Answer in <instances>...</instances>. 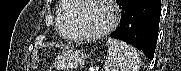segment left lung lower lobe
Masks as SVG:
<instances>
[{
	"label": "left lung lower lobe",
	"instance_id": "left-lung-lower-lobe-1",
	"mask_svg": "<svg viewBox=\"0 0 181 71\" xmlns=\"http://www.w3.org/2000/svg\"><path fill=\"white\" fill-rule=\"evenodd\" d=\"M120 26L112 38L142 50L152 60L158 38L161 0H120Z\"/></svg>",
	"mask_w": 181,
	"mask_h": 71
}]
</instances>
